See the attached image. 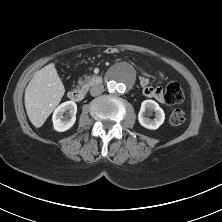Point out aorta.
I'll list each match as a JSON object with an SVG mask.
<instances>
[{
    "label": "aorta",
    "instance_id": "1",
    "mask_svg": "<svg viewBox=\"0 0 222 222\" xmlns=\"http://www.w3.org/2000/svg\"><path fill=\"white\" fill-rule=\"evenodd\" d=\"M134 83V75L127 66L114 69L107 78V89L112 94L127 91Z\"/></svg>",
    "mask_w": 222,
    "mask_h": 222
}]
</instances>
